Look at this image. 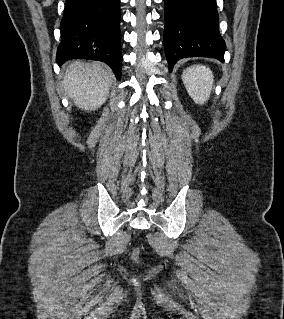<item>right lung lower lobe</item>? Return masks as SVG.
Segmentation results:
<instances>
[{
    "label": "right lung lower lobe",
    "instance_id": "1",
    "mask_svg": "<svg viewBox=\"0 0 284 319\" xmlns=\"http://www.w3.org/2000/svg\"><path fill=\"white\" fill-rule=\"evenodd\" d=\"M120 0H66L56 62L75 58L108 64L121 77Z\"/></svg>",
    "mask_w": 284,
    "mask_h": 319
}]
</instances>
